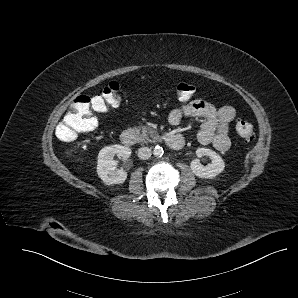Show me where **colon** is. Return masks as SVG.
Returning <instances> with one entry per match:
<instances>
[{"instance_id": "5ec220e1", "label": "colon", "mask_w": 298, "mask_h": 298, "mask_svg": "<svg viewBox=\"0 0 298 298\" xmlns=\"http://www.w3.org/2000/svg\"><path fill=\"white\" fill-rule=\"evenodd\" d=\"M174 93L179 101L187 102L195 94V87L188 83H178L174 86ZM120 103V86L117 82L107 83L102 91L95 96H77L63 120L57 127V136L64 141H71L79 134L91 131L97 125L95 112H107ZM236 132L244 140L253 137V126L243 120L236 123Z\"/></svg>"}]
</instances>
